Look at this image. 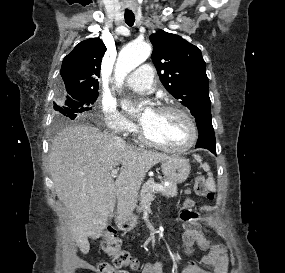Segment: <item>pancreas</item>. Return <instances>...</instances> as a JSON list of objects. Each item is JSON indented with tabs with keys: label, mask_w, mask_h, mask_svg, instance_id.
<instances>
[{
	"label": "pancreas",
	"mask_w": 285,
	"mask_h": 273,
	"mask_svg": "<svg viewBox=\"0 0 285 273\" xmlns=\"http://www.w3.org/2000/svg\"><path fill=\"white\" fill-rule=\"evenodd\" d=\"M166 181H169L166 179ZM156 184L153 179L148 180L141 189L140 192V207L138 211L144 210L145 206L154 200V193L158 190H153L152 186ZM164 187L163 191H160L163 196L174 197L177 196L176 183L170 182L169 185L161 184Z\"/></svg>",
	"instance_id": "1"
}]
</instances>
